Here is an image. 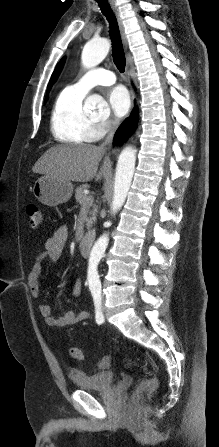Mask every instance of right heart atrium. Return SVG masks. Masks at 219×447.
<instances>
[{"label":"right heart atrium","mask_w":219,"mask_h":447,"mask_svg":"<svg viewBox=\"0 0 219 447\" xmlns=\"http://www.w3.org/2000/svg\"><path fill=\"white\" fill-rule=\"evenodd\" d=\"M97 128L101 135L107 134L114 128V123L111 121H102L97 124Z\"/></svg>","instance_id":"d8ad5b80"}]
</instances>
